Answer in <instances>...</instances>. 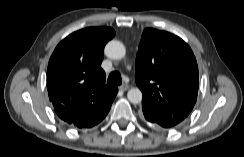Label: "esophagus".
<instances>
[{
  "label": "esophagus",
  "instance_id": "esophagus-1",
  "mask_svg": "<svg viewBox=\"0 0 244 157\" xmlns=\"http://www.w3.org/2000/svg\"><path fill=\"white\" fill-rule=\"evenodd\" d=\"M128 89H129V85L128 84H123V85L119 86V90L126 91Z\"/></svg>",
  "mask_w": 244,
  "mask_h": 157
}]
</instances>
